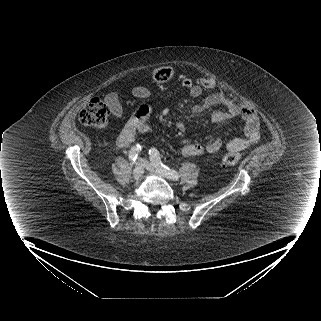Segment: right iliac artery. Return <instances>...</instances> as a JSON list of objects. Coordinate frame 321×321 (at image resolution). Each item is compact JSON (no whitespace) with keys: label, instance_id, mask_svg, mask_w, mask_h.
Returning a JSON list of instances; mask_svg holds the SVG:
<instances>
[{"label":"right iliac artery","instance_id":"obj_1","mask_svg":"<svg viewBox=\"0 0 321 321\" xmlns=\"http://www.w3.org/2000/svg\"><path fill=\"white\" fill-rule=\"evenodd\" d=\"M141 150L142 146L140 144L133 146L129 151V160L135 162Z\"/></svg>","mask_w":321,"mask_h":321}]
</instances>
